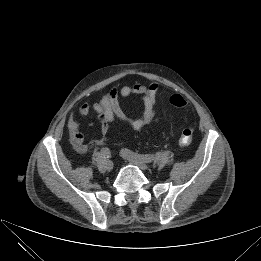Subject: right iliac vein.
Here are the masks:
<instances>
[{
    "instance_id": "obj_1",
    "label": "right iliac vein",
    "mask_w": 261,
    "mask_h": 261,
    "mask_svg": "<svg viewBox=\"0 0 261 261\" xmlns=\"http://www.w3.org/2000/svg\"><path fill=\"white\" fill-rule=\"evenodd\" d=\"M113 167H114V163L111 161V160H107L106 162H105V168L107 169V170H112L113 169Z\"/></svg>"
}]
</instances>
